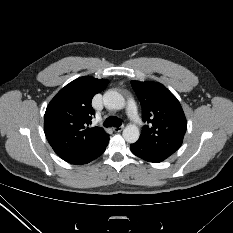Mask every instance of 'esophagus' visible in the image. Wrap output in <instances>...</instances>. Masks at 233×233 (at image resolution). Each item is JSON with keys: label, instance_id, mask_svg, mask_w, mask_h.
<instances>
[{"label": "esophagus", "instance_id": "esophagus-1", "mask_svg": "<svg viewBox=\"0 0 233 233\" xmlns=\"http://www.w3.org/2000/svg\"><path fill=\"white\" fill-rule=\"evenodd\" d=\"M124 126H120V127H114L113 131L115 132H121L123 130Z\"/></svg>", "mask_w": 233, "mask_h": 233}]
</instances>
